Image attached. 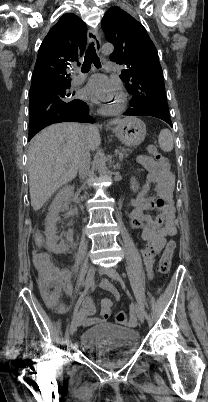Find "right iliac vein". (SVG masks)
<instances>
[{
	"instance_id": "1",
	"label": "right iliac vein",
	"mask_w": 208,
	"mask_h": 402,
	"mask_svg": "<svg viewBox=\"0 0 208 402\" xmlns=\"http://www.w3.org/2000/svg\"><path fill=\"white\" fill-rule=\"evenodd\" d=\"M94 276H95V267L92 264H89L87 267V277H86V286H91L93 285L94 282ZM78 326V316H76L71 324L70 327V334L71 336L74 335L75 331L77 330Z\"/></svg>"
}]
</instances>
